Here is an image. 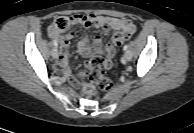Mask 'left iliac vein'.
Wrapping results in <instances>:
<instances>
[{
	"label": "left iliac vein",
	"mask_w": 194,
	"mask_h": 133,
	"mask_svg": "<svg viewBox=\"0 0 194 133\" xmlns=\"http://www.w3.org/2000/svg\"><path fill=\"white\" fill-rule=\"evenodd\" d=\"M132 58L131 52L130 51H126L124 54V60L125 61H130Z\"/></svg>",
	"instance_id": "left-iliac-vein-1"
}]
</instances>
